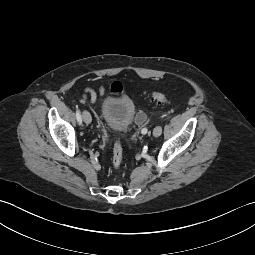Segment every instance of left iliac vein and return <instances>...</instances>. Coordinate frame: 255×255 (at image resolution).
<instances>
[{
	"label": "left iliac vein",
	"mask_w": 255,
	"mask_h": 255,
	"mask_svg": "<svg viewBox=\"0 0 255 255\" xmlns=\"http://www.w3.org/2000/svg\"><path fill=\"white\" fill-rule=\"evenodd\" d=\"M161 133H162V127H161V126H157V127L154 128V130H153V135H154L155 137L160 136Z\"/></svg>",
	"instance_id": "4c4485c4"
}]
</instances>
